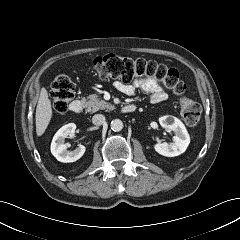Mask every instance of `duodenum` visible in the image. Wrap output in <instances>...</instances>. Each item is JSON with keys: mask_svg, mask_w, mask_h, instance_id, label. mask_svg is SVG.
Listing matches in <instances>:
<instances>
[{"mask_svg": "<svg viewBox=\"0 0 240 240\" xmlns=\"http://www.w3.org/2000/svg\"><path fill=\"white\" fill-rule=\"evenodd\" d=\"M82 109H83V104L79 99H74L69 104V110L74 114L80 113ZM135 110H136V106L134 104H128L121 108V111L124 113H132Z\"/></svg>", "mask_w": 240, "mask_h": 240, "instance_id": "410a0bca", "label": "duodenum"}]
</instances>
